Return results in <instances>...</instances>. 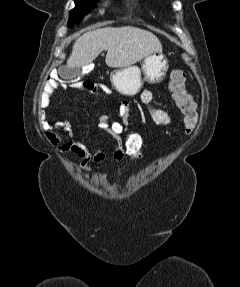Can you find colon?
I'll return each instance as SVG.
<instances>
[{
  "label": "colon",
  "instance_id": "colon-1",
  "mask_svg": "<svg viewBox=\"0 0 240 287\" xmlns=\"http://www.w3.org/2000/svg\"><path fill=\"white\" fill-rule=\"evenodd\" d=\"M186 77L187 75L184 70H172L170 74L169 89L176 106L184 115L186 132L191 133L196 127L198 117L195 103L185 89ZM64 85L65 87L69 86L88 91H92L95 88V84L89 80ZM109 127L112 130L113 135L121 139L125 158L133 164L139 163L144 157V139L142 135L136 132H130L128 126L123 125L119 121L110 122Z\"/></svg>",
  "mask_w": 240,
  "mask_h": 287
}]
</instances>
